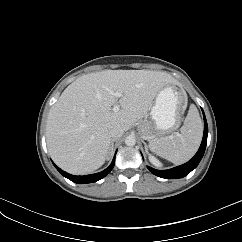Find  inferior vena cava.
I'll list each match as a JSON object with an SVG mask.
<instances>
[{
    "label": "inferior vena cava",
    "instance_id": "obj_1",
    "mask_svg": "<svg viewBox=\"0 0 242 242\" xmlns=\"http://www.w3.org/2000/svg\"><path fill=\"white\" fill-rule=\"evenodd\" d=\"M124 134V129L120 126H114L109 130V135L112 140L120 138Z\"/></svg>",
    "mask_w": 242,
    "mask_h": 242
}]
</instances>
